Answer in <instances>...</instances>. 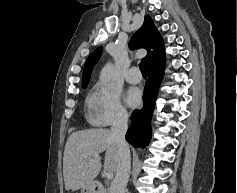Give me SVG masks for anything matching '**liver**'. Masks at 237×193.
Segmentation results:
<instances>
[{"instance_id": "1", "label": "liver", "mask_w": 237, "mask_h": 193, "mask_svg": "<svg viewBox=\"0 0 237 193\" xmlns=\"http://www.w3.org/2000/svg\"><path fill=\"white\" fill-rule=\"evenodd\" d=\"M103 152L104 169L116 173L120 155L110 130L95 128L76 131L70 135L63 157V177L67 191H76L93 183L102 166L101 159L94 156Z\"/></svg>"}]
</instances>
